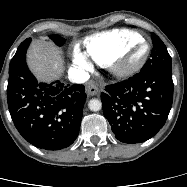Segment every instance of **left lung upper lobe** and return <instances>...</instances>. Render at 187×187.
<instances>
[{
	"label": "left lung upper lobe",
	"instance_id": "left-lung-upper-lobe-1",
	"mask_svg": "<svg viewBox=\"0 0 187 187\" xmlns=\"http://www.w3.org/2000/svg\"><path fill=\"white\" fill-rule=\"evenodd\" d=\"M151 36L153 41L151 57L142 67L141 71L171 68V57L165 44L156 34L151 33Z\"/></svg>",
	"mask_w": 187,
	"mask_h": 187
}]
</instances>
